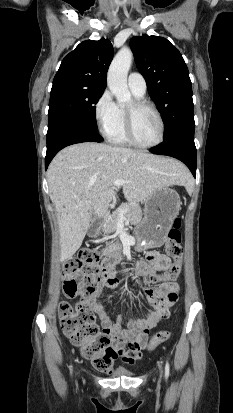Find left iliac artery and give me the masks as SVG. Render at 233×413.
Wrapping results in <instances>:
<instances>
[{
  "instance_id": "left-iliac-artery-1",
  "label": "left iliac artery",
  "mask_w": 233,
  "mask_h": 413,
  "mask_svg": "<svg viewBox=\"0 0 233 413\" xmlns=\"http://www.w3.org/2000/svg\"><path fill=\"white\" fill-rule=\"evenodd\" d=\"M169 371H170L169 363L166 362V365H165V377L166 378H168L169 376Z\"/></svg>"
}]
</instances>
